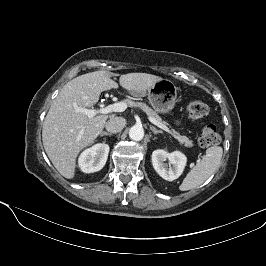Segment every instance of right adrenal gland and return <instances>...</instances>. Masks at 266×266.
<instances>
[{
	"instance_id": "1",
	"label": "right adrenal gland",
	"mask_w": 266,
	"mask_h": 266,
	"mask_svg": "<svg viewBox=\"0 0 266 266\" xmlns=\"http://www.w3.org/2000/svg\"><path fill=\"white\" fill-rule=\"evenodd\" d=\"M104 135H106V136H112L113 134L112 133L105 132V131H103L102 133H100V136H104Z\"/></svg>"
}]
</instances>
